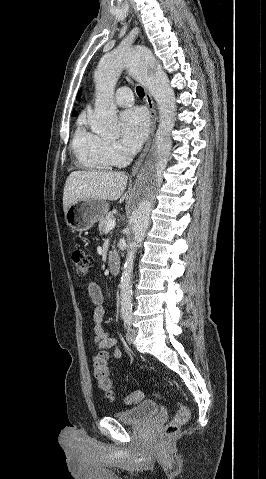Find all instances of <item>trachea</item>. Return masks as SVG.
<instances>
[{"label": "trachea", "instance_id": "obj_1", "mask_svg": "<svg viewBox=\"0 0 266 479\" xmlns=\"http://www.w3.org/2000/svg\"><path fill=\"white\" fill-rule=\"evenodd\" d=\"M136 92L140 97H144V89L140 86H137Z\"/></svg>", "mask_w": 266, "mask_h": 479}]
</instances>
